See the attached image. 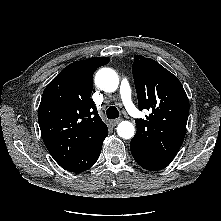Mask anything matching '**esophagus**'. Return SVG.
Here are the masks:
<instances>
[{"label":"esophagus","instance_id":"esophagus-1","mask_svg":"<svg viewBox=\"0 0 221 221\" xmlns=\"http://www.w3.org/2000/svg\"><path fill=\"white\" fill-rule=\"evenodd\" d=\"M120 121H122L121 118L114 119V120H111V121H110V124L114 127V126H116Z\"/></svg>","mask_w":221,"mask_h":221}]
</instances>
